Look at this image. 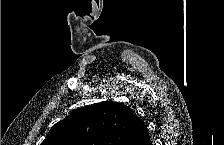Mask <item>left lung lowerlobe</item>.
<instances>
[{
  "mask_svg": "<svg viewBox=\"0 0 224 145\" xmlns=\"http://www.w3.org/2000/svg\"><path fill=\"white\" fill-rule=\"evenodd\" d=\"M134 145H152V142L146 127L142 130L140 136L138 137Z\"/></svg>",
  "mask_w": 224,
  "mask_h": 145,
  "instance_id": "1",
  "label": "left lung lower lobe"
}]
</instances>
